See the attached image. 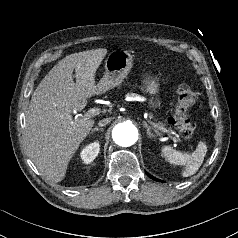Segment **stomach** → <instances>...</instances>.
Masks as SVG:
<instances>
[{"instance_id": "0dacf381", "label": "stomach", "mask_w": 238, "mask_h": 238, "mask_svg": "<svg viewBox=\"0 0 238 238\" xmlns=\"http://www.w3.org/2000/svg\"><path fill=\"white\" fill-rule=\"evenodd\" d=\"M133 67V55L124 50L112 51L105 61V74L97 84L100 93H104L114 87L119 86L126 78ZM144 87L147 93L152 96L150 105L153 108L158 106L155 96L159 92V83L152 78L144 80Z\"/></svg>"}]
</instances>
